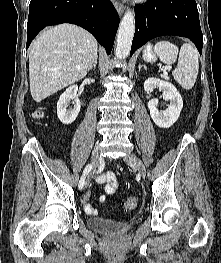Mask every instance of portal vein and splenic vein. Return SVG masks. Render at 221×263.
<instances>
[{
	"label": "portal vein and splenic vein",
	"instance_id": "portal-vein-and-splenic-vein-1",
	"mask_svg": "<svg viewBox=\"0 0 221 263\" xmlns=\"http://www.w3.org/2000/svg\"><path fill=\"white\" fill-rule=\"evenodd\" d=\"M167 69H171V67H167Z\"/></svg>",
	"mask_w": 221,
	"mask_h": 263
}]
</instances>
